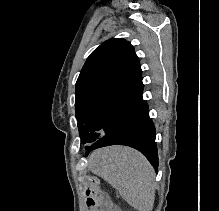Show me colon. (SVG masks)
I'll list each match as a JSON object with an SVG mask.
<instances>
[{"mask_svg":"<svg viewBox=\"0 0 219 211\" xmlns=\"http://www.w3.org/2000/svg\"><path fill=\"white\" fill-rule=\"evenodd\" d=\"M87 206L90 211H96L99 207V203L102 197V192L99 188V180L97 177H88V186L86 188Z\"/></svg>","mask_w":219,"mask_h":211,"instance_id":"5ec220e1","label":"colon"}]
</instances>
